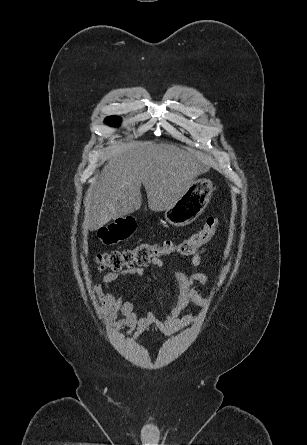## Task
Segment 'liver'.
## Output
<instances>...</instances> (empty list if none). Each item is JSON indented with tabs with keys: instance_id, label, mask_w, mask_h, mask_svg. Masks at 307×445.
I'll return each mask as SVG.
<instances>
[{
	"instance_id": "1",
	"label": "liver",
	"mask_w": 307,
	"mask_h": 445,
	"mask_svg": "<svg viewBox=\"0 0 307 445\" xmlns=\"http://www.w3.org/2000/svg\"><path fill=\"white\" fill-rule=\"evenodd\" d=\"M108 150V160L85 204L84 225L90 231L138 210L142 204L141 184L150 210L161 212L186 192L198 174L209 170V156L167 142L132 140Z\"/></svg>"
}]
</instances>
